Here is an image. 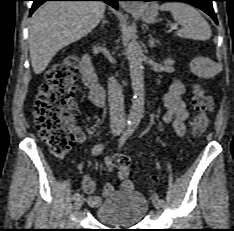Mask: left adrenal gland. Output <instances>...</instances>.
I'll return each instance as SVG.
<instances>
[{"label":"left adrenal gland","mask_w":234,"mask_h":231,"mask_svg":"<svg viewBox=\"0 0 234 231\" xmlns=\"http://www.w3.org/2000/svg\"><path fill=\"white\" fill-rule=\"evenodd\" d=\"M148 37H149V46L151 48L156 47V45H160V42L157 39H155L151 34H149Z\"/></svg>","instance_id":"obj_1"}]
</instances>
